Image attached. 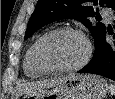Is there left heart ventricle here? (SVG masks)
Here are the masks:
<instances>
[{"mask_svg": "<svg viewBox=\"0 0 115 99\" xmlns=\"http://www.w3.org/2000/svg\"><path fill=\"white\" fill-rule=\"evenodd\" d=\"M84 41L77 35L62 33L47 39L41 48L44 61L54 67L77 64L85 55Z\"/></svg>", "mask_w": 115, "mask_h": 99, "instance_id": "obj_1", "label": "left heart ventricle"}]
</instances>
